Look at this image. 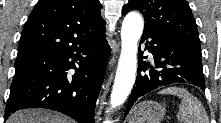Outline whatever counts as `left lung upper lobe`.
Returning a JSON list of instances; mask_svg holds the SVG:
<instances>
[{"instance_id": "obj_1", "label": "left lung upper lobe", "mask_w": 221, "mask_h": 123, "mask_svg": "<svg viewBox=\"0 0 221 123\" xmlns=\"http://www.w3.org/2000/svg\"><path fill=\"white\" fill-rule=\"evenodd\" d=\"M132 10L143 14L144 29L200 47L197 25L186 0H129L122 12Z\"/></svg>"}]
</instances>
